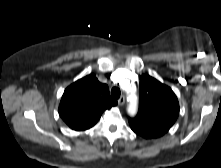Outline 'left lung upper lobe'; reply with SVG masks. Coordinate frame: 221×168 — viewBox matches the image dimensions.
Returning <instances> with one entry per match:
<instances>
[{
	"label": "left lung upper lobe",
	"instance_id": "obj_1",
	"mask_svg": "<svg viewBox=\"0 0 221 168\" xmlns=\"http://www.w3.org/2000/svg\"><path fill=\"white\" fill-rule=\"evenodd\" d=\"M179 115V103L171 88L149 75L140 77L139 111L129 118L131 129L144 138L164 135Z\"/></svg>",
	"mask_w": 221,
	"mask_h": 168
}]
</instances>
